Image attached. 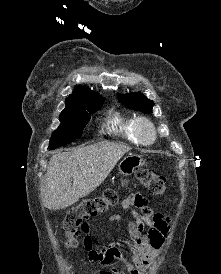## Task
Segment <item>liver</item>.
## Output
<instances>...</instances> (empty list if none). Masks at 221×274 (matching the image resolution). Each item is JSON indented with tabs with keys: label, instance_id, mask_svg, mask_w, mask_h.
I'll use <instances>...</instances> for the list:
<instances>
[{
	"label": "liver",
	"instance_id": "1",
	"mask_svg": "<svg viewBox=\"0 0 221 274\" xmlns=\"http://www.w3.org/2000/svg\"><path fill=\"white\" fill-rule=\"evenodd\" d=\"M130 150L126 145L99 142L53 155L42 187L43 205L64 209L88 196Z\"/></svg>",
	"mask_w": 221,
	"mask_h": 274
}]
</instances>
